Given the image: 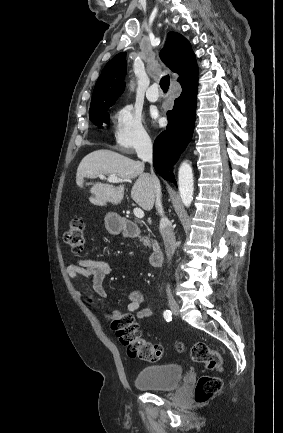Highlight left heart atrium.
<instances>
[{"label": "left heart atrium", "mask_w": 283, "mask_h": 433, "mask_svg": "<svg viewBox=\"0 0 283 433\" xmlns=\"http://www.w3.org/2000/svg\"><path fill=\"white\" fill-rule=\"evenodd\" d=\"M153 117L155 120H158V114H154Z\"/></svg>", "instance_id": "obj_1"}]
</instances>
